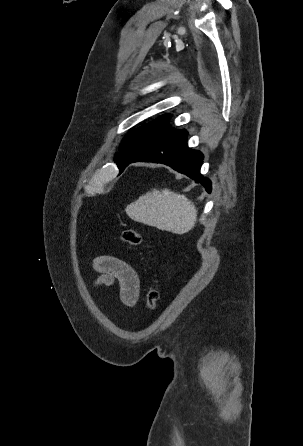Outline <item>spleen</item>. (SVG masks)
I'll list each match as a JSON object with an SVG mask.
<instances>
[{"label":"spleen","mask_w":303,"mask_h":446,"mask_svg":"<svg viewBox=\"0 0 303 446\" xmlns=\"http://www.w3.org/2000/svg\"><path fill=\"white\" fill-rule=\"evenodd\" d=\"M126 214L134 221L175 234L189 232L197 220V210L185 195L153 189L129 204Z\"/></svg>","instance_id":"3e777b00"}]
</instances>
